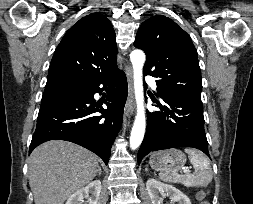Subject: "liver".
I'll list each match as a JSON object with an SVG mask.
<instances>
[{"label":"liver","instance_id":"liver-1","mask_svg":"<svg viewBox=\"0 0 253 204\" xmlns=\"http://www.w3.org/2000/svg\"><path fill=\"white\" fill-rule=\"evenodd\" d=\"M99 171L97 157L74 143L53 140L29 157V185L35 204H63Z\"/></svg>","mask_w":253,"mask_h":204}]
</instances>
